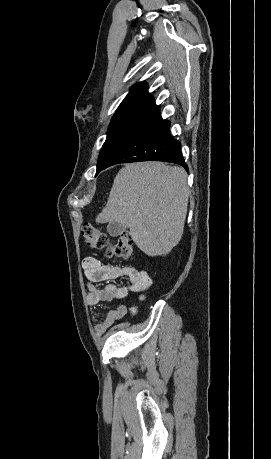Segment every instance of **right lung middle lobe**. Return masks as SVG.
I'll list each match as a JSON object with an SVG mask.
<instances>
[{
  "instance_id": "1",
  "label": "right lung middle lobe",
  "mask_w": 271,
  "mask_h": 459,
  "mask_svg": "<svg viewBox=\"0 0 271 459\" xmlns=\"http://www.w3.org/2000/svg\"><path fill=\"white\" fill-rule=\"evenodd\" d=\"M159 114L149 111H131L114 114L107 138L99 154L96 175L104 169L111 157L136 133L156 119Z\"/></svg>"
}]
</instances>
